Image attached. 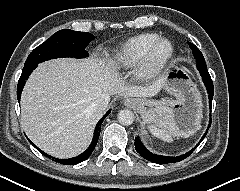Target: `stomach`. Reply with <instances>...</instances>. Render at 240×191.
Here are the masks:
<instances>
[{
  "label": "stomach",
  "instance_id": "0dacf381",
  "mask_svg": "<svg viewBox=\"0 0 240 191\" xmlns=\"http://www.w3.org/2000/svg\"><path fill=\"white\" fill-rule=\"evenodd\" d=\"M163 88L176 100L134 99L135 109L143 120L149 123L160 114L167 113L177 130H196L202 118V98L189 75L184 69L171 66L163 76Z\"/></svg>",
  "mask_w": 240,
  "mask_h": 191
}]
</instances>
